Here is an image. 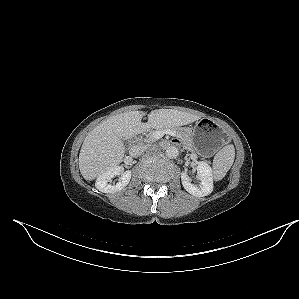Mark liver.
I'll use <instances>...</instances> for the list:
<instances>
[{"mask_svg": "<svg viewBox=\"0 0 299 299\" xmlns=\"http://www.w3.org/2000/svg\"><path fill=\"white\" fill-rule=\"evenodd\" d=\"M143 111H129L103 120L88 133L79 154V169L83 178L92 181L123 161V140L133 138L149 128H166L193 123L199 115L171 109L153 110L148 122L141 119Z\"/></svg>", "mask_w": 299, "mask_h": 299, "instance_id": "liver-1", "label": "liver"}]
</instances>
